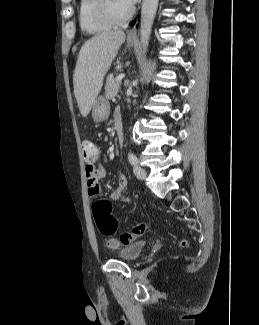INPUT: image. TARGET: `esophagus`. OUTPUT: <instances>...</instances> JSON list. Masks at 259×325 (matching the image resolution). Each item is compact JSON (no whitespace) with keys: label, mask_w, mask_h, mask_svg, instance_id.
Masks as SVG:
<instances>
[{"label":"esophagus","mask_w":259,"mask_h":325,"mask_svg":"<svg viewBox=\"0 0 259 325\" xmlns=\"http://www.w3.org/2000/svg\"><path fill=\"white\" fill-rule=\"evenodd\" d=\"M127 35H128V38H130V39L136 38L137 37V35H136V29L135 28L130 29L128 31V34Z\"/></svg>","instance_id":"1"}]
</instances>
